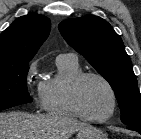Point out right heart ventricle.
<instances>
[{"label": "right heart ventricle", "mask_w": 141, "mask_h": 139, "mask_svg": "<svg viewBox=\"0 0 141 139\" xmlns=\"http://www.w3.org/2000/svg\"><path fill=\"white\" fill-rule=\"evenodd\" d=\"M56 68L54 77L40 83L42 106L51 114L79 117L71 106L69 88L72 81L83 73V69L77 58L57 59Z\"/></svg>", "instance_id": "right-heart-ventricle-1"}]
</instances>
